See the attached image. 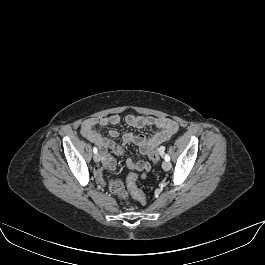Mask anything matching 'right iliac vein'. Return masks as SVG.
Masks as SVG:
<instances>
[{
	"label": "right iliac vein",
	"mask_w": 265,
	"mask_h": 265,
	"mask_svg": "<svg viewBox=\"0 0 265 265\" xmlns=\"http://www.w3.org/2000/svg\"><path fill=\"white\" fill-rule=\"evenodd\" d=\"M93 158L94 161L98 163L101 160V155L99 153H96Z\"/></svg>",
	"instance_id": "63e3f726"
}]
</instances>
